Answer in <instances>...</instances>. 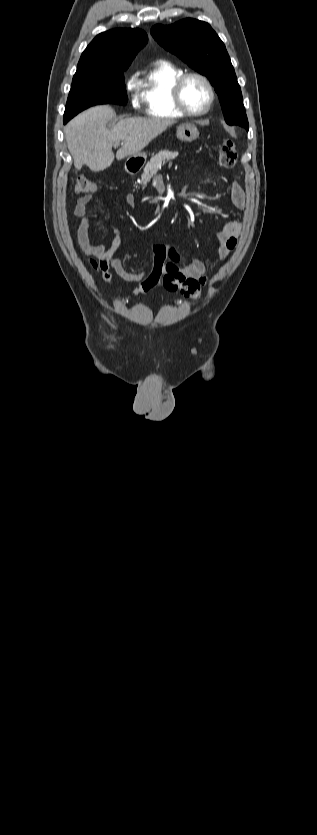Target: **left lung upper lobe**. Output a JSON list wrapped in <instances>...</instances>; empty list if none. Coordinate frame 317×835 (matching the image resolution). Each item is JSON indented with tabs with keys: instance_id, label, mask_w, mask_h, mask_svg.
Wrapping results in <instances>:
<instances>
[{
	"instance_id": "left-lung-upper-lobe-1",
	"label": "left lung upper lobe",
	"mask_w": 317,
	"mask_h": 835,
	"mask_svg": "<svg viewBox=\"0 0 317 835\" xmlns=\"http://www.w3.org/2000/svg\"><path fill=\"white\" fill-rule=\"evenodd\" d=\"M154 39L191 68L205 75L219 96L227 124L248 131L242 93L224 43L203 21L184 19L169 26L155 25Z\"/></svg>"
}]
</instances>
